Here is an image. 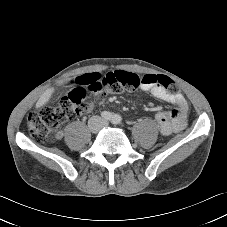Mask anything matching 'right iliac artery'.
Masks as SVG:
<instances>
[{
	"label": "right iliac artery",
	"instance_id": "1",
	"mask_svg": "<svg viewBox=\"0 0 227 227\" xmlns=\"http://www.w3.org/2000/svg\"><path fill=\"white\" fill-rule=\"evenodd\" d=\"M101 116H102V118L105 119V120H111L112 117H113L112 113H110V112H108V111H103V112L101 113Z\"/></svg>",
	"mask_w": 227,
	"mask_h": 227
}]
</instances>
